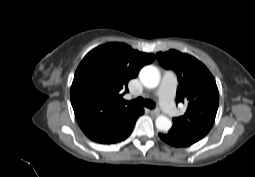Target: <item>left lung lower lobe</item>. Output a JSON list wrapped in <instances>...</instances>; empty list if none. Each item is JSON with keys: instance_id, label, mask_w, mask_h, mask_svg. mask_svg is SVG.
<instances>
[{"instance_id": "1", "label": "left lung lower lobe", "mask_w": 255, "mask_h": 177, "mask_svg": "<svg viewBox=\"0 0 255 177\" xmlns=\"http://www.w3.org/2000/svg\"><path fill=\"white\" fill-rule=\"evenodd\" d=\"M159 137L167 144L175 147H187L198 141L172 128L167 133H159Z\"/></svg>"}]
</instances>
